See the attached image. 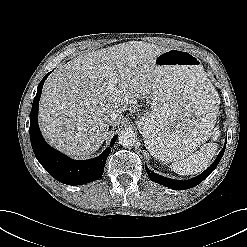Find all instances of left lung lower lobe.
Here are the masks:
<instances>
[{"label": "left lung lower lobe", "mask_w": 247, "mask_h": 247, "mask_svg": "<svg viewBox=\"0 0 247 247\" xmlns=\"http://www.w3.org/2000/svg\"><path fill=\"white\" fill-rule=\"evenodd\" d=\"M225 147H226V142H225L223 149L220 151L219 155L217 156L216 160L213 162V164L203 173H201L197 177L192 178L190 180L180 181V180L169 179V178H166L164 176L154 173L153 171L149 170L146 166H145V169L150 179L156 183H159L161 185H164L166 187H169L175 190L189 189V188H192L200 184L205 178H207L211 174V172L217 167L218 163L220 162L224 154Z\"/></svg>", "instance_id": "1"}]
</instances>
